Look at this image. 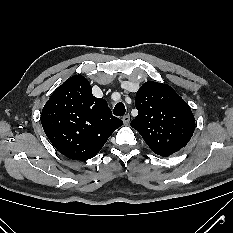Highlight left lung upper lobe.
Segmentation results:
<instances>
[{"instance_id": "left-lung-upper-lobe-1", "label": "left lung upper lobe", "mask_w": 233, "mask_h": 233, "mask_svg": "<svg viewBox=\"0 0 233 233\" xmlns=\"http://www.w3.org/2000/svg\"><path fill=\"white\" fill-rule=\"evenodd\" d=\"M138 115L131 122L150 149L167 157L184 147L195 129L189 105L167 84L148 81L136 93Z\"/></svg>"}]
</instances>
